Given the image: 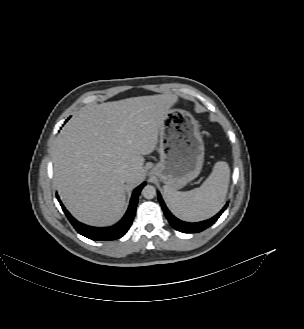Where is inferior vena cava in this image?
Listing matches in <instances>:
<instances>
[{
    "label": "inferior vena cava",
    "mask_w": 304,
    "mask_h": 329,
    "mask_svg": "<svg viewBox=\"0 0 304 329\" xmlns=\"http://www.w3.org/2000/svg\"><path fill=\"white\" fill-rule=\"evenodd\" d=\"M121 175L124 179H128L130 177L131 173L129 170L123 169V170H121Z\"/></svg>",
    "instance_id": "602c4592"
}]
</instances>
